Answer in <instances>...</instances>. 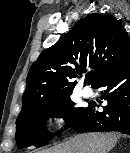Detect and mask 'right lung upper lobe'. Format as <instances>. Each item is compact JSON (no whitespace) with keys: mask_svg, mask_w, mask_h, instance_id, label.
I'll use <instances>...</instances> for the list:
<instances>
[{"mask_svg":"<svg viewBox=\"0 0 130 153\" xmlns=\"http://www.w3.org/2000/svg\"><path fill=\"white\" fill-rule=\"evenodd\" d=\"M128 59L130 40L118 20L111 15H88L32 64L20 115L71 95L76 79L88 68L91 71L87 73L85 83L93 87L104 74Z\"/></svg>","mask_w":130,"mask_h":153,"instance_id":"1","label":"right lung upper lobe"}]
</instances>
